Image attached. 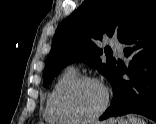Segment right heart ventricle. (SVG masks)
Wrapping results in <instances>:
<instances>
[{"label":"right heart ventricle","mask_w":156,"mask_h":124,"mask_svg":"<svg viewBox=\"0 0 156 124\" xmlns=\"http://www.w3.org/2000/svg\"><path fill=\"white\" fill-rule=\"evenodd\" d=\"M77 71L74 68L68 67L65 69L54 81L52 84L51 88L49 89L46 99H45V104H44V109H43V115L44 119L50 123V124H72L74 123L67 117L63 116L56 104L57 96L60 90L71 80L76 78Z\"/></svg>","instance_id":"e07e8e85"}]
</instances>
